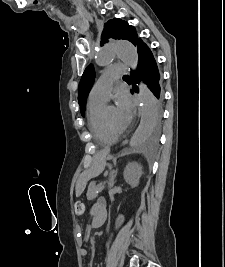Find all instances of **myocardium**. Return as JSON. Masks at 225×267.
Returning a JSON list of instances; mask_svg holds the SVG:
<instances>
[{
  "instance_id": "f54148a6",
  "label": "myocardium",
  "mask_w": 225,
  "mask_h": 267,
  "mask_svg": "<svg viewBox=\"0 0 225 267\" xmlns=\"http://www.w3.org/2000/svg\"><path fill=\"white\" fill-rule=\"evenodd\" d=\"M102 118H103V122L104 125L106 127V129L113 135H116L117 137L123 133L124 129L123 128H115L113 127L107 120L106 116H105V111H103L102 113Z\"/></svg>"
}]
</instances>
